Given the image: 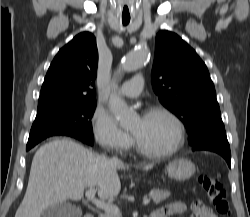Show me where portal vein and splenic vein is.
I'll use <instances>...</instances> for the list:
<instances>
[{"instance_id": "18ae733b", "label": "portal vein and splenic vein", "mask_w": 250, "mask_h": 217, "mask_svg": "<svg viewBox=\"0 0 250 217\" xmlns=\"http://www.w3.org/2000/svg\"><path fill=\"white\" fill-rule=\"evenodd\" d=\"M96 189L94 187H90L89 190L85 193L86 198L91 200V202L98 208L105 210L106 212L119 214L120 210L116 205L106 203L102 200H98L95 198ZM150 203V199L144 198L143 205H148Z\"/></svg>"}]
</instances>
